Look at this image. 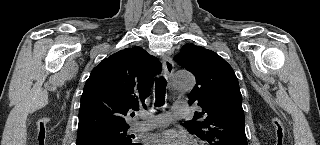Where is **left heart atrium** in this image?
Returning <instances> with one entry per match:
<instances>
[{
  "label": "left heart atrium",
  "mask_w": 320,
  "mask_h": 145,
  "mask_svg": "<svg viewBox=\"0 0 320 145\" xmlns=\"http://www.w3.org/2000/svg\"><path fill=\"white\" fill-rule=\"evenodd\" d=\"M151 145H190L188 136L182 132L167 130L149 139Z\"/></svg>",
  "instance_id": "39dd6f15"
}]
</instances>
